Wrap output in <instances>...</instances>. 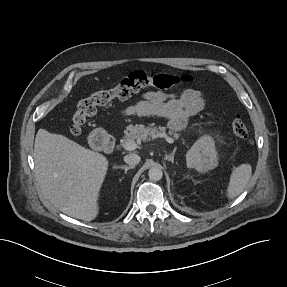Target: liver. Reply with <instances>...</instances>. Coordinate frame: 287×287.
I'll use <instances>...</instances> for the list:
<instances>
[{"label": "liver", "mask_w": 287, "mask_h": 287, "mask_svg": "<svg viewBox=\"0 0 287 287\" xmlns=\"http://www.w3.org/2000/svg\"><path fill=\"white\" fill-rule=\"evenodd\" d=\"M33 158L44 197L61 212L85 221L99 214L107 158L60 134L39 129Z\"/></svg>", "instance_id": "1"}]
</instances>
